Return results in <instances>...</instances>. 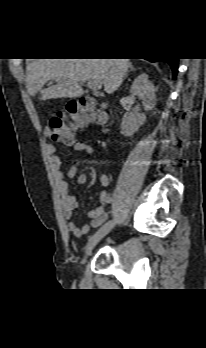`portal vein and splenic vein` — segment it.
Masks as SVG:
<instances>
[{
  "instance_id": "portal-vein-and-splenic-vein-1",
  "label": "portal vein and splenic vein",
  "mask_w": 206,
  "mask_h": 348,
  "mask_svg": "<svg viewBox=\"0 0 206 348\" xmlns=\"http://www.w3.org/2000/svg\"><path fill=\"white\" fill-rule=\"evenodd\" d=\"M87 86L93 90H96L102 86V82L100 80H89L87 82Z\"/></svg>"
}]
</instances>
